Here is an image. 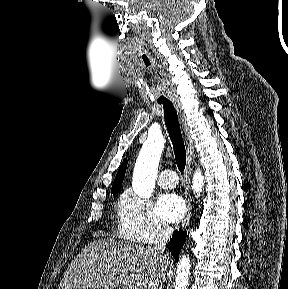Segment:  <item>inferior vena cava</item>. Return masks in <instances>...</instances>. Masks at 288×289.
<instances>
[{
    "label": "inferior vena cava",
    "instance_id": "inferior-vena-cava-1",
    "mask_svg": "<svg viewBox=\"0 0 288 289\" xmlns=\"http://www.w3.org/2000/svg\"><path fill=\"white\" fill-rule=\"evenodd\" d=\"M172 233L173 229L170 226H168L167 224L162 225L157 235L156 244L153 248L155 252L161 254L165 252L166 243L169 240Z\"/></svg>",
    "mask_w": 288,
    "mask_h": 289
}]
</instances>
